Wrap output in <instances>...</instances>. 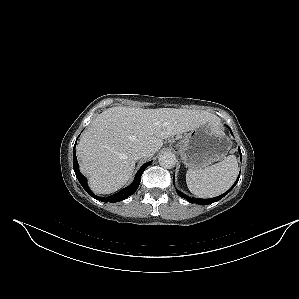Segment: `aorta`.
Returning a JSON list of instances; mask_svg holds the SVG:
<instances>
[{"instance_id": "obj_1", "label": "aorta", "mask_w": 299, "mask_h": 299, "mask_svg": "<svg viewBox=\"0 0 299 299\" xmlns=\"http://www.w3.org/2000/svg\"><path fill=\"white\" fill-rule=\"evenodd\" d=\"M159 164L163 168H173L176 164V157L173 153L171 152H165L162 155H160L159 159Z\"/></svg>"}]
</instances>
